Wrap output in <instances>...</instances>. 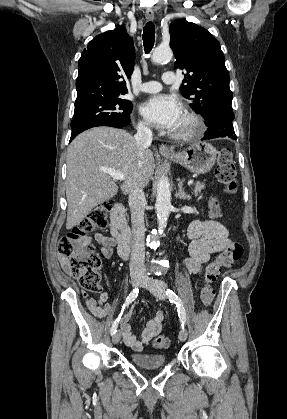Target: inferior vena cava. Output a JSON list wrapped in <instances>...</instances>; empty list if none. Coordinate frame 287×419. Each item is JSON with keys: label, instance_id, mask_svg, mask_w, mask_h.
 <instances>
[{"label": "inferior vena cava", "instance_id": "inferior-vena-cava-1", "mask_svg": "<svg viewBox=\"0 0 287 419\" xmlns=\"http://www.w3.org/2000/svg\"><path fill=\"white\" fill-rule=\"evenodd\" d=\"M140 157L143 151L151 145L152 131L145 125H139L134 135ZM128 203L131 211V222L133 232L132 252L130 259V275L145 276V224L144 211L146 199L142 184L138 181L132 186Z\"/></svg>", "mask_w": 287, "mask_h": 419}]
</instances>
